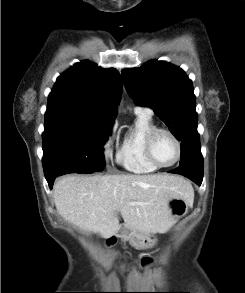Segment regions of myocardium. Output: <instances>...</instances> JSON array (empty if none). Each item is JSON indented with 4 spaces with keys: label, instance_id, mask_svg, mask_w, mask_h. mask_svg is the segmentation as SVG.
<instances>
[{
    "label": "myocardium",
    "instance_id": "f54148a6",
    "mask_svg": "<svg viewBox=\"0 0 245 293\" xmlns=\"http://www.w3.org/2000/svg\"><path fill=\"white\" fill-rule=\"evenodd\" d=\"M161 133L168 134L172 138L173 142L175 143L176 149H177V154H176L175 159L169 164L159 163L153 153V145H154L155 138ZM181 152H182L181 141L176 136V134L173 131H171L170 129L163 128V127H157L154 130H152L146 138V141H145L146 157L157 168H169V167L175 165L181 157Z\"/></svg>",
    "mask_w": 245,
    "mask_h": 293
}]
</instances>
